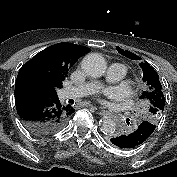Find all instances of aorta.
<instances>
[{
  "mask_svg": "<svg viewBox=\"0 0 177 177\" xmlns=\"http://www.w3.org/2000/svg\"><path fill=\"white\" fill-rule=\"evenodd\" d=\"M81 67L84 73L90 77H100L105 73L106 61L98 53H90L86 55L82 62ZM116 130V123L111 118H104L101 125V131L104 134H112Z\"/></svg>",
  "mask_w": 177,
  "mask_h": 177,
  "instance_id": "aorta-1",
  "label": "aorta"
}]
</instances>
